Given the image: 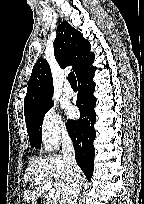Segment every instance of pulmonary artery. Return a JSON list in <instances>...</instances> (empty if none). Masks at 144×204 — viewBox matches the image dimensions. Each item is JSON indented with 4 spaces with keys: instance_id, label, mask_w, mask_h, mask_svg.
Returning a JSON list of instances; mask_svg holds the SVG:
<instances>
[{
    "instance_id": "1",
    "label": "pulmonary artery",
    "mask_w": 144,
    "mask_h": 204,
    "mask_svg": "<svg viewBox=\"0 0 144 204\" xmlns=\"http://www.w3.org/2000/svg\"><path fill=\"white\" fill-rule=\"evenodd\" d=\"M73 95H74L73 89L71 88V86L68 83H66L64 88H63V96L66 98H72Z\"/></svg>"
}]
</instances>
